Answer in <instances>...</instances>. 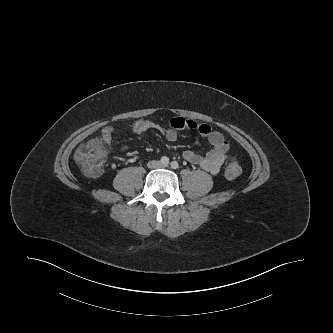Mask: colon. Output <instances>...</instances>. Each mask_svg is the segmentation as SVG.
<instances>
[{
    "mask_svg": "<svg viewBox=\"0 0 333 333\" xmlns=\"http://www.w3.org/2000/svg\"><path fill=\"white\" fill-rule=\"evenodd\" d=\"M106 147L101 140H90L81 145L75 152L74 158L80 169L90 177H97L103 171L106 157ZM242 168L235 159H230L225 169L228 179H235L241 174Z\"/></svg>",
    "mask_w": 333,
    "mask_h": 333,
    "instance_id": "colon-1",
    "label": "colon"
}]
</instances>
